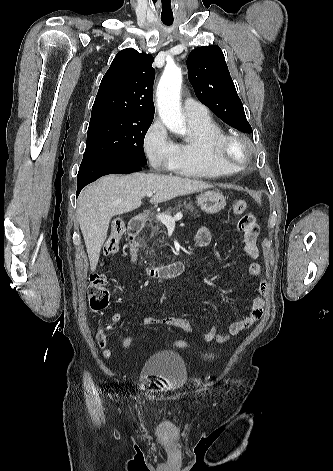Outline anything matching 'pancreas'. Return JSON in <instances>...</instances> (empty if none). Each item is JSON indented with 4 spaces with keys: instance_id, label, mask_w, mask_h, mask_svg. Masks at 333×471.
Returning <instances> with one entry per match:
<instances>
[{
    "instance_id": "cf45deb5",
    "label": "pancreas",
    "mask_w": 333,
    "mask_h": 471,
    "mask_svg": "<svg viewBox=\"0 0 333 471\" xmlns=\"http://www.w3.org/2000/svg\"><path fill=\"white\" fill-rule=\"evenodd\" d=\"M182 206L185 208V210H190V212L192 213L193 216H197L198 211L195 210L192 202H188V203L183 202V204H178V206L176 208V211H180ZM174 210L175 209L169 208L164 212V214L170 215L171 212L174 211ZM153 223H156V225H153ZM147 226L151 229V234H150V237L148 238L147 241L153 240L157 234L164 232V231H160L161 224H158V220L153 221L152 219H150ZM144 238H145V236L140 238V241L143 242V243H144V241H143ZM157 241L160 242V240H158V239H157ZM147 249H148L147 254H149L150 257L153 258L152 253L154 252V249L151 248L149 250V247ZM152 263L155 264V261L153 260Z\"/></svg>"
}]
</instances>
